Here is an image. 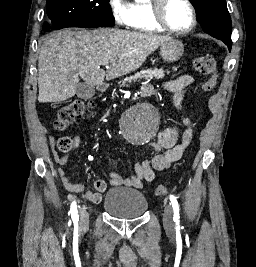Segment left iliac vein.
<instances>
[{"instance_id": "left-iliac-vein-1", "label": "left iliac vein", "mask_w": 256, "mask_h": 267, "mask_svg": "<svg viewBox=\"0 0 256 267\" xmlns=\"http://www.w3.org/2000/svg\"><path fill=\"white\" fill-rule=\"evenodd\" d=\"M163 223L167 230L174 229L173 208L170 204L167 203L164 205Z\"/></svg>"}]
</instances>
